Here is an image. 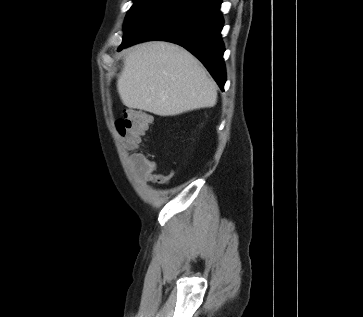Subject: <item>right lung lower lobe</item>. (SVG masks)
<instances>
[{
  "mask_svg": "<svg viewBox=\"0 0 363 317\" xmlns=\"http://www.w3.org/2000/svg\"><path fill=\"white\" fill-rule=\"evenodd\" d=\"M220 0H181L147 23L118 50L147 40L177 43L194 54L223 90L226 73Z\"/></svg>",
  "mask_w": 363,
  "mask_h": 317,
  "instance_id": "1",
  "label": "right lung lower lobe"
}]
</instances>
